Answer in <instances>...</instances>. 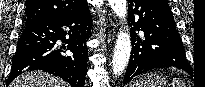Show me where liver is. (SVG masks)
I'll list each match as a JSON object with an SVG mask.
<instances>
[{"instance_id": "1", "label": "liver", "mask_w": 205, "mask_h": 87, "mask_svg": "<svg viewBox=\"0 0 205 87\" xmlns=\"http://www.w3.org/2000/svg\"><path fill=\"white\" fill-rule=\"evenodd\" d=\"M10 87H69V85L58 77L37 71L20 75L10 84Z\"/></svg>"}]
</instances>
